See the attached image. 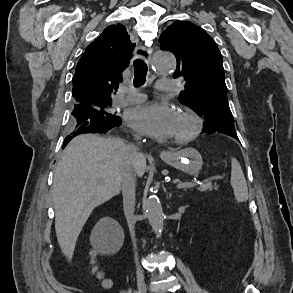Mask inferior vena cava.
I'll return each mask as SVG.
<instances>
[{"mask_svg":"<svg viewBox=\"0 0 293 293\" xmlns=\"http://www.w3.org/2000/svg\"><path fill=\"white\" fill-rule=\"evenodd\" d=\"M136 138L140 139L139 136H137ZM139 156H140V153H138L134 147L128 146V156L122 165L121 174H120L121 190L123 194V205H124L125 215H126L127 223L131 233L132 241H133L134 250L137 249L135 231H134V225H135L134 206H135V189H136V185H135L136 174L134 171V160ZM135 260H136L137 270L139 271L140 266L138 263L137 253L135 254Z\"/></svg>","mask_w":293,"mask_h":293,"instance_id":"1","label":"inferior vena cava"}]
</instances>
